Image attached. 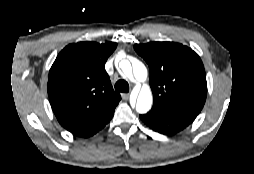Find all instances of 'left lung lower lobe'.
Returning a JSON list of instances; mask_svg holds the SVG:
<instances>
[{"mask_svg":"<svg viewBox=\"0 0 254 174\" xmlns=\"http://www.w3.org/2000/svg\"><path fill=\"white\" fill-rule=\"evenodd\" d=\"M195 118L190 114L173 112L155 105L147 114L140 115V119L147 126L165 135L178 133L191 124Z\"/></svg>","mask_w":254,"mask_h":174,"instance_id":"left-lung-lower-lobe-1","label":"left lung lower lobe"}]
</instances>
